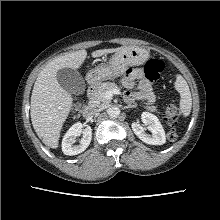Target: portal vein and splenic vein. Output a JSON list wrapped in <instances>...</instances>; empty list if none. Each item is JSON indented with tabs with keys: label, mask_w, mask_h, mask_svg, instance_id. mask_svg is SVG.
I'll use <instances>...</instances> for the list:
<instances>
[{
	"label": "portal vein and splenic vein",
	"mask_w": 220,
	"mask_h": 220,
	"mask_svg": "<svg viewBox=\"0 0 220 220\" xmlns=\"http://www.w3.org/2000/svg\"><path fill=\"white\" fill-rule=\"evenodd\" d=\"M114 94L121 95V92L119 89H112V90L106 91L104 98L107 100H111Z\"/></svg>",
	"instance_id": "obj_1"
}]
</instances>
